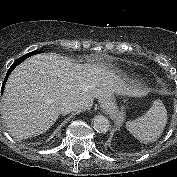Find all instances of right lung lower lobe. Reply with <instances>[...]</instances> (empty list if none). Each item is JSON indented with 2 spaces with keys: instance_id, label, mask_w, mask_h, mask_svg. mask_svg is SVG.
Segmentation results:
<instances>
[{
  "instance_id": "right-lung-lower-lobe-1",
  "label": "right lung lower lobe",
  "mask_w": 177,
  "mask_h": 177,
  "mask_svg": "<svg viewBox=\"0 0 177 177\" xmlns=\"http://www.w3.org/2000/svg\"><path fill=\"white\" fill-rule=\"evenodd\" d=\"M38 53H39L38 51H32V52H30V53H27L26 55H24V56L18 58V59L11 65V67L9 68V70H8V72H7V74H6V77H5L4 81H3L2 90L4 89L6 80L8 79L9 74L12 72V70H13L18 64H20L21 62H23L27 57H30V56L35 55V54H38Z\"/></svg>"
}]
</instances>
